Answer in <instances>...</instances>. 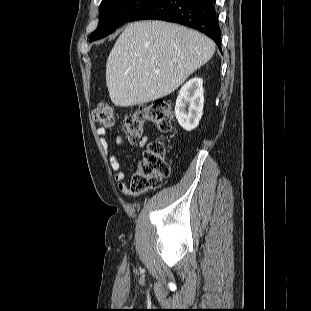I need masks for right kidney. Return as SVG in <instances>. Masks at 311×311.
<instances>
[{"mask_svg": "<svg viewBox=\"0 0 311 311\" xmlns=\"http://www.w3.org/2000/svg\"><path fill=\"white\" fill-rule=\"evenodd\" d=\"M202 85L201 78H192L182 86L177 97L175 116L180 126L186 131L195 129L202 117L204 104Z\"/></svg>", "mask_w": 311, "mask_h": 311, "instance_id": "obj_1", "label": "right kidney"}]
</instances>
